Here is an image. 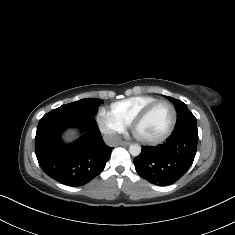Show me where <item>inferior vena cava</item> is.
Here are the masks:
<instances>
[{
	"mask_svg": "<svg viewBox=\"0 0 235 235\" xmlns=\"http://www.w3.org/2000/svg\"><path fill=\"white\" fill-rule=\"evenodd\" d=\"M104 142L111 147L117 146L121 141V137L117 134L104 135Z\"/></svg>",
	"mask_w": 235,
	"mask_h": 235,
	"instance_id": "obj_1",
	"label": "inferior vena cava"
}]
</instances>
